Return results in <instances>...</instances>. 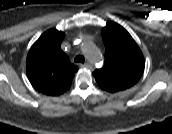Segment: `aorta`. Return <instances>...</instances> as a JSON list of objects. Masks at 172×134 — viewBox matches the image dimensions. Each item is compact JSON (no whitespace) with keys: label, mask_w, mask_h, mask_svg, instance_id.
I'll use <instances>...</instances> for the list:
<instances>
[{"label":"aorta","mask_w":172,"mask_h":134,"mask_svg":"<svg viewBox=\"0 0 172 134\" xmlns=\"http://www.w3.org/2000/svg\"><path fill=\"white\" fill-rule=\"evenodd\" d=\"M84 52L89 60L97 64L101 59V55L97 47L92 42H85L83 46Z\"/></svg>","instance_id":"1"}]
</instances>
